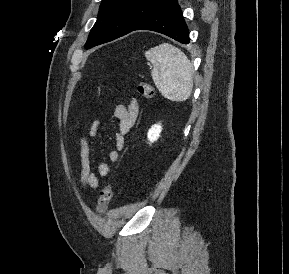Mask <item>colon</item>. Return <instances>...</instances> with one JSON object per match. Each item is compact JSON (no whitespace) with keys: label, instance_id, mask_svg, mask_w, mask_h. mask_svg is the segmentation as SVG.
<instances>
[{"label":"colon","instance_id":"colon-1","mask_svg":"<svg viewBox=\"0 0 289 274\" xmlns=\"http://www.w3.org/2000/svg\"><path fill=\"white\" fill-rule=\"evenodd\" d=\"M138 93L143 96L145 99H153L155 96L154 88L151 84L140 81L137 85ZM113 197V186L112 184H107L102 190L100 191L98 203L96 205L97 213H102L110 203Z\"/></svg>","mask_w":289,"mask_h":274}]
</instances>
